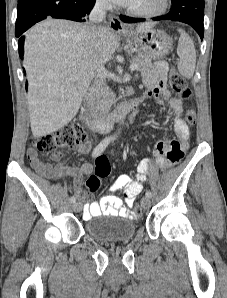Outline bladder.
I'll return each mask as SVG.
<instances>
[{
  "mask_svg": "<svg viewBox=\"0 0 227 298\" xmlns=\"http://www.w3.org/2000/svg\"><path fill=\"white\" fill-rule=\"evenodd\" d=\"M86 233L102 244H114L131 240L137 230L135 222L129 219H91L85 224Z\"/></svg>",
  "mask_w": 227,
  "mask_h": 298,
  "instance_id": "1",
  "label": "bladder"
}]
</instances>
